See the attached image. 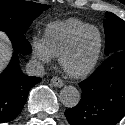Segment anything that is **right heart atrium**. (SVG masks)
I'll use <instances>...</instances> for the list:
<instances>
[{
    "instance_id": "right-heart-atrium-1",
    "label": "right heart atrium",
    "mask_w": 125,
    "mask_h": 125,
    "mask_svg": "<svg viewBox=\"0 0 125 125\" xmlns=\"http://www.w3.org/2000/svg\"><path fill=\"white\" fill-rule=\"evenodd\" d=\"M32 60L39 65L49 64L53 61L54 55L47 47L42 36H32L30 39Z\"/></svg>"
}]
</instances>
